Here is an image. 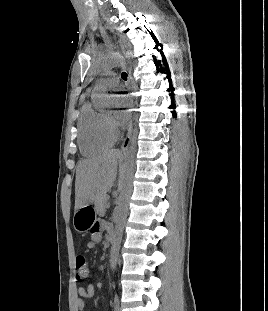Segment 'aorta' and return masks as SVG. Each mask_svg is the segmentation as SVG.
<instances>
[{"label":"aorta","mask_w":268,"mask_h":311,"mask_svg":"<svg viewBox=\"0 0 268 311\" xmlns=\"http://www.w3.org/2000/svg\"><path fill=\"white\" fill-rule=\"evenodd\" d=\"M124 63H125L124 56H122L121 54H115L103 60L98 67V71L101 73H107L112 69L123 66ZM126 69L128 72H133L135 68L133 65H128ZM133 91L134 92L140 91L138 81H135ZM97 101L100 104L107 105L110 102V97L106 94H99L97 96ZM135 101H138V98H135ZM135 109H138V106H135ZM136 153H137V135L136 133H134L127 154V160L119 177V184H118L119 196L117 199V206L115 209V229L109 259L110 267L112 269H115L117 265L120 244L122 241L123 230L127 218L128 204L132 193V183L135 170Z\"/></svg>","instance_id":"obj_1"}]
</instances>
